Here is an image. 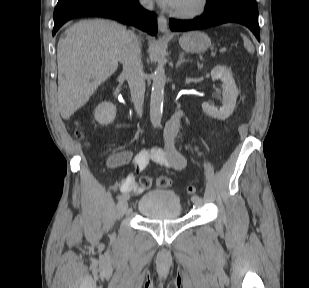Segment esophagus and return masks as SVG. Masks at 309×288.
Returning <instances> with one entry per match:
<instances>
[{
    "label": "esophagus",
    "instance_id": "1",
    "mask_svg": "<svg viewBox=\"0 0 309 288\" xmlns=\"http://www.w3.org/2000/svg\"><path fill=\"white\" fill-rule=\"evenodd\" d=\"M158 29L162 34H168V21L166 17L162 14L158 16Z\"/></svg>",
    "mask_w": 309,
    "mask_h": 288
}]
</instances>
